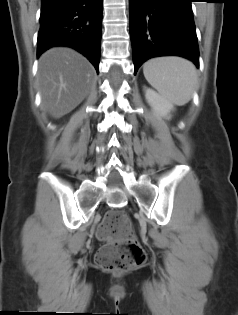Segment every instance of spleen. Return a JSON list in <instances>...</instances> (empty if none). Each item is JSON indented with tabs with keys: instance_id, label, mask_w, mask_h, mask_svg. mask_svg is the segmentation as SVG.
<instances>
[{
	"instance_id": "spleen-1",
	"label": "spleen",
	"mask_w": 238,
	"mask_h": 315,
	"mask_svg": "<svg viewBox=\"0 0 238 315\" xmlns=\"http://www.w3.org/2000/svg\"><path fill=\"white\" fill-rule=\"evenodd\" d=\"M143 73L148 83L168 102L188 103L198 87L194 64L181 57H158L146 61Z\"/></svg>"
}]
</instances>
